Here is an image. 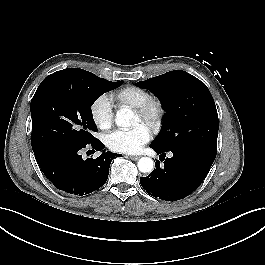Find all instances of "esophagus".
I'll use <instances>...</instances> for the list:
<instances>
[{
	"mask_svg": "<svg viewBox=\"0 0 265 265\" xmlns=\"http://www.w3.org/2000/svg\"><path fill=\"white\" fill-rule=\"evenodd\" d=\"M129 159L136 161L140 158V156H128Z\"/></svg>",
	"mask_w": 265,
	"mask_h": 265,
	"instance_id": "34e87169",
	"label": "esophagus"
}]
</instances>
